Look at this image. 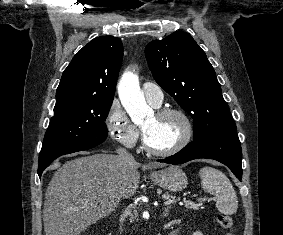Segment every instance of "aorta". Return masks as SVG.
I'll list each match as a JSON object with an SVG mask.
<instances>
[{"label": "aorta", "mask_w": 283, "mask_h": 235, "mask_svg": "<svg viewBox=\"0 0 283 235\" xmlns=\"http://www.w3.org/2000/svg\"><path fill=\"white\" fill-rule=\"evenodd\" d=\"M118 94L123 107L134 123L143 122L144 118L152 113L140 90L138 76L132 71L123 73L118 84Z\"/></svg>", "instance_id": "762f6f07"}]
</instances>
